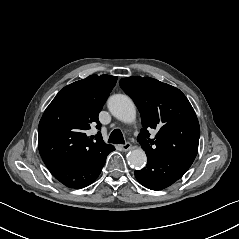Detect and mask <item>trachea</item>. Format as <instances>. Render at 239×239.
<instances>
[{"instance_id": "3493384b", "label": "trachea", "mask_w": 239, "mask_h": 239, "mask_svg": "<svg viewBox=\"0 0 239 239\" xmlns=\"http://www.w3.org/2000/svg\"><path fill=\"white\" fill-rule=\"evenodd\" d=\"M108 142L114 144H125L121 130L120 129L113 130L109 136Z\"/></svg>"}]
</instances>
